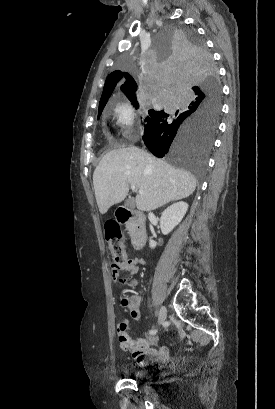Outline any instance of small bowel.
<instances>
[{
  "label": "small bowel",
  "mask_w": 275,
  "mask_h": 409,
  "mask_svg": "<svg viewBox=\"0 0 275 409\" xmlns=\"http://www.w3.org/2000/svg\"><path fill=\"white\" fill-rule=\"evenodd\" d=\"M126 270L130 271L132 275L138 274V265L130 261L126 266ZM118 268H112L110 279L113 284L118 282L117 275L119 274ZM131 278L125 277L119 281L121 286L125 284H130ZM131 307H138V302H131ZM131 318L133 320H138L140 315L138 314L137 309L131 311ZM131 326L134 324L132 321L129 323ZM116 329L118 330L117 335L118 339V348L120 351H131L130 358L132 360H137V362L142 366H147L154 361L165 362L168 359L169 352L165 347L158 346V338L155 335L148 336L144 340H137L134 337H131L129 332V327L126 322H118L116 324Z\"/></svg>",
  "instance_id": "c3829d8e"
}]
</instances>
